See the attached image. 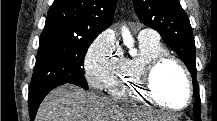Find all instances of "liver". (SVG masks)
<instances>
[{
    "label": "liver",
    "mask_w": 217,
    "mask_h": 121,
    "mask_svg": "<svg viewBox=\"0 0 217 121\" xmlns=\"http://www.w3.org/2000/svg\"><path fill=\"white\" fill-rule=\"evenodd\" d=\"M138 107L66 84L53 89L43 100L35 121H137L145 117ZM151 119L170 121L167 114Z\"/></svg>",
    "instance_id": "obj_1"
}]
</instances>
